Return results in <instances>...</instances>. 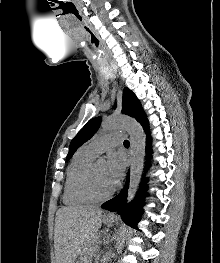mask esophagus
<instances>
[{
	"mask_svg": "<svg viewBox=\"0 0 220 263\" xmlns=\"http://www.w3.org/2000/svg\"><path fill=\"white\" fill-rule=\"evenodd\" d=\"M106 216L111 217L112 213H106Z\"/></svg>",
	"mask_w": 220,
	"mask_h": 263,
	"instance_id": "1",
	"label": "esophagus"
}]
</instances>
